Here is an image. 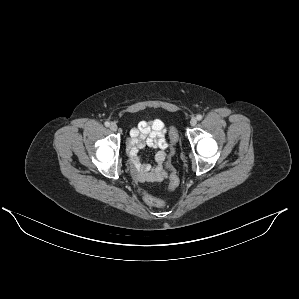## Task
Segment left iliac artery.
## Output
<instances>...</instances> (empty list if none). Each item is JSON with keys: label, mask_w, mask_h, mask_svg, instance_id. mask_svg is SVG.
<instances>
[{"label": "left iliac artery", "mask_w": 299, "mask_h": 299, "mask_svg": "<svg viewBox=\"0 0 299 299\" xmlns=\"http://www.w3.org/2000/svg\"><path fill=\"white\" fill-rule=\"evenodd\" d=\"M202 116L201 115H197V120H201Z\"/></svg>", "instance_id": "44dca946"}]
</instances>
